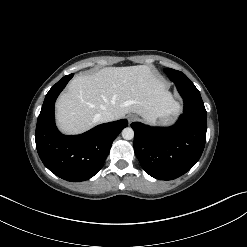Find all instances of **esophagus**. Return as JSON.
<instances>
[{"label":"esophagus","instance_id":"esophagus-1","mask_svg":"<svg viewBox=\"0 0 247 247\" xmlns=\"http://www.w3.org/2000/svg\"><path fill=\"white\" fill-rule=\"evenodd\" d=\"M127 119H128L129 123H132V122L136 121L138 118L136 115L130 114V115H128Z\"/></svg>","mask_w":247,"mask_h":247}]
</instances>
